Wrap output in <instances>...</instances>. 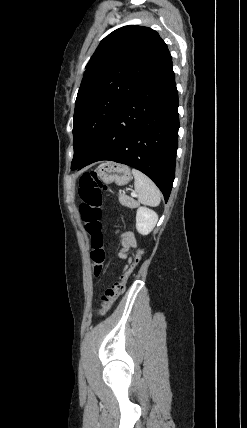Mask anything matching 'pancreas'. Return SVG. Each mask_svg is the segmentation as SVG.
Here are the masks:
<instances>
[{"mask_svg": "<svg viewBox=\"0 0 247 428\" xmlns=\"http://www.w3.org/2000/svg\"><path fill=\"white\" fill-rule=\"evenodd\" d=\"M119 201L123 206H126L131 209L139 206V203L137 201H135L133 198L126 196L125 194H119Z\"/></svg>", "mask_w": 247, "mask_h": 428, "instance_id": "pancreas-1", "label": "pancreas"}]
</instances>
